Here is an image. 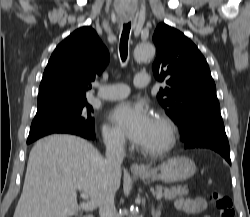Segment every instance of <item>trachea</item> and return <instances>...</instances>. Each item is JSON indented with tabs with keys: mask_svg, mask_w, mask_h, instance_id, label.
<instances>
[{
	"mask_svg": "<svg viewBox=\"0 0 250 217\" xmlns=\"http://www.w3.org/2000/svg\"><path fill=\"white\" fill-rule=\"evenodd\" d=\"M131 29V23L123 25V31L120 39V56L122 61H125L128 53V38Z\"/></svg>",
	"mask_w": 250,
	"mask_h": 217,
	"instance_id": "1",
	"label": "trachea"
}]
</instances>
